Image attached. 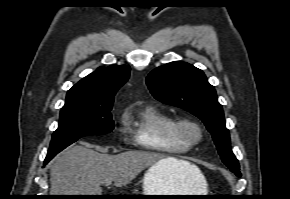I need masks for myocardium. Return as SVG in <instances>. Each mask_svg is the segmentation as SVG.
Listing matches in <instances>:
<instances>
[{
  "mask_svg": "<svg viewBox=\"0 0 290 199\" xmlns=\"http://www.w3.org/2000/svg\"><path fill=\"white\" fill-rule=\"evenodd\" d=\"M172 135L178 140L192 146L201 141L203 128L195 120L190 118H180L174 120L172 124Z\"/></svg>",
  "mask_w": 290,
  "mask_h": 199,
  "instance_id": "f54148a6",
  "label": "myocardium"
}]
</instances>
